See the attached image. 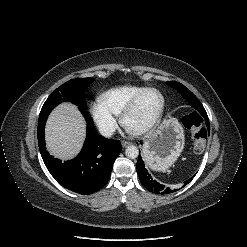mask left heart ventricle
Here are the masks:
<instances>
[{
	"label": "left heart ventricle",
	"instance_id": "left-heart-ventricle-1",
	"mask_svg": "<svg viewBox=\"0 0 247 247\" xmlns=\"http://www.w3.org/2000/svg\"><path fill=\"white\" fill-rule=\"evenodd\" d=\"M161 97L157 92L149 91L143 95L136 108L128 117L127 123L132 129H140L149 124L158 114Z\"/></svg>",
	"mask_w": 247,
	"mask_h": 247
}]
</instances>
